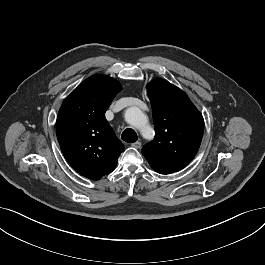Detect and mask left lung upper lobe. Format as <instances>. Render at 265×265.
<instances>
[{"label": "left lung upper lobe", "mask_w": 265, "mask_h": 265, "mask_svg": "<svg viewBox=\"0 0 265 265\" xmlns=\"http://www.w3.org/2000/svg\"><path fill=\"white\" fill-rule=\"evenodd\" d=\"M152 106L155 138L142 148L150 166L170 174L187 166L201 144L204 120L189 97L164 79L147 87Z\"/></svg>", "instance_id": "obj_1"}]
</instances>
